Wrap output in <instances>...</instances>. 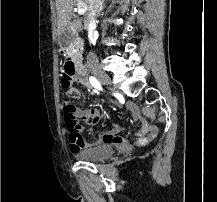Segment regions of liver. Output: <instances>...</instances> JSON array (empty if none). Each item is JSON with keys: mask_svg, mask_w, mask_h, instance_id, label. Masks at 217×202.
<instances>
[{"mask_svg": "<svg viewBox=\"0 0 217 202\" xmlns=\"http://www.w3.org/2000/svg\"><path fill=\"white\" fill-rule=\"evenodd\" d=\"M78 0H56L57 8V22L58 32H71V34H78L82 30V20H74L71 22L73 16V10L77 6ZM84 4H87V0H83Z\"/></svg>", "mask_w": 217, "mask_h": 202, "instance_id": "6515ba94", "label": "liver"}]
</instances>
